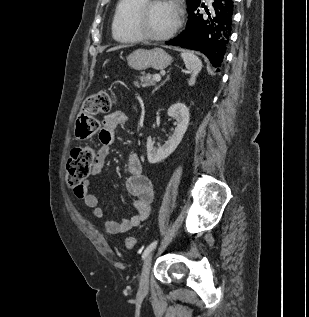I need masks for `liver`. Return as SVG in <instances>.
I'll list each match as a JSON object with an SVG mask.
<instances>
[{
    "label": "liver",
    "instance_id": "obj_1",
    "mask_svg": "<svg viewBox=\"0 0 309 317\" xmlns=\"http://www.w3.org/2000/svg\"><path fill=\"white\" fill-rule=\"evenodd\" d=\"M124 47L125 46H117V47L109 49L108 51H114V50H117V49H120V48H124Z\"/></svg>",
    "mask_w": 309,
    "mask_h": 317
}]
</instances>
